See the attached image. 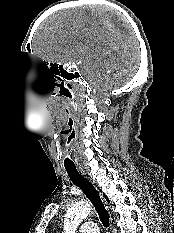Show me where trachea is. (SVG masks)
<instances>
[{
  "mask_svg": "<svg viewBox=\"0 0 174 233\" xmlns=\"http://www.w3.org/2000/svg\"><path fill=\"white\" fill-rule=\"evenodd\" d=\"M65 169L67 171V174L70 178V180L78 186L83 193L86 195V197L91 201L93 204L100 221L104 225V227L109 226V214L107 210L105 209V206L95 189V187L92 185V183L86 179L83 175H81L76 167H66Z\"/></svg>",
  "mask_w": 174,
  "mask_h": 233,
  "instance_id": "3493384b",
  "label": "trachea"
}]
</instances>
